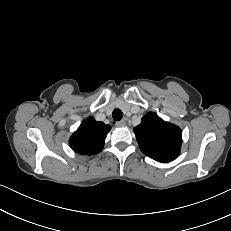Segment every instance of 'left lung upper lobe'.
I'll return each instance as SVG.
<instances>
[{
  "instance_id": "obj_1",
  "label": "left lung upper lobe",
  "mask_w": 231,
  "mask_h": 231,
  "mask_svg": "<svg viewBox=\"0 0 231 231\" xmlns=\"http://www.w3.org/2000/svg\"><path fill=\"white\" fill-rule=\"evenodd\" d=\"M133 131L141 151L150 158L165 163L178 157L182 144L181 129L156 113L144 115Z\"/></svg>"
}]
</instances>
